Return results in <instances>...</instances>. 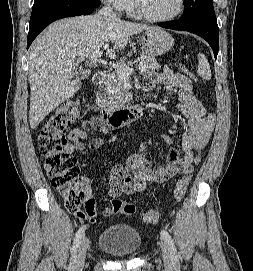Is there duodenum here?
Returning a JSON list of instances; mask_svg holds the SVG:
<instances>
[{"label":"duodenum","mask_w":253,"mask_h":271,"mask_svg":"<svg viewBox=\"0 0 253 271\" xmlns=\"http://www.w3.org/2000/svg\"><path fill=\"white\" fill-rule=\"evenodd\" d=\"M105 72L97 71L92 78L95 86H100L105 81ZM146 107L144 103H137L130 106L120 108L102 107L99 109L100 118L109 128H118L135 118H139L145 113Z\"/></svg>","instance_id":"obj_1"}]
</instances>
